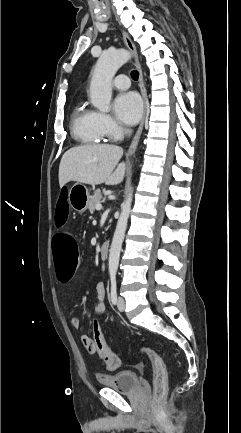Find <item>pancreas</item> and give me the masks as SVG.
Wrapping results in <instances>:
<instances>
[{
  "label": "pancreas",
  "instance_id": "pancreas-1",
  "mask_svg": "<svg viewBox=\"0 0 241 433\" xmlns=\"http://www.w3.org/2000/svg\"><path fill=\"white\" fill-rule=\"evenodd\" d=\"M102 200V194L100 190H97L93 196L90 197L89 202H88V210L90 211V213H94L95 209H96V205L100 204Z\"/></svg>",
  "mask_w": 241,
  "mask_h": 433
}]
</instances>
